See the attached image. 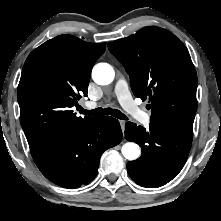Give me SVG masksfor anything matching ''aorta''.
I'll return each mask as SVG.
<instances>
[{
    "mask_svg": "<svg viewBox=\"0 0 221 221\" xmlns=\"http://www.w3.org/2000/svg\"><path fill=\"white\" fill-rule=\"evenodd\" d=\"M115 76L114 69L107 63H99L92 70V78L99 85L110 84ZM122 154L128 160H135L140 156V147L133 142H127L122 146Z\"/></svg>",
    "mask_w": 221,
    "mask_h": 221,
    "instance_id": "762f6f07",
    "label": "aorta"
}]
</instances>
